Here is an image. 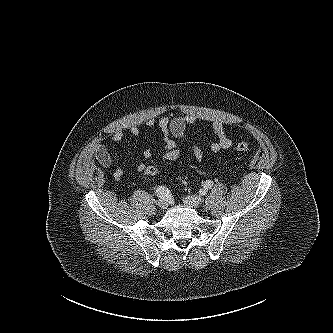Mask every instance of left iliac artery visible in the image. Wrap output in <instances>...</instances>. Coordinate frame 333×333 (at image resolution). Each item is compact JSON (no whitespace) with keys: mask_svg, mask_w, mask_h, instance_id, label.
<instances>
[{"mask_svg":"<svg viewBox=\"0 0 333 333\" xmlns=\"http://www.w3.org/2000/svg\"><path fill=\"white\" fill-rule=\"evenodd\" d=\"M204 189L205 190H208V189H211L213 187V181L211 180H207L205 183H204Z\"/></svg>","mask_w":333,"mask_h":333,"instance_id":"left-iliac-artery-1","label":"left iliac artery"}]
</instances>
